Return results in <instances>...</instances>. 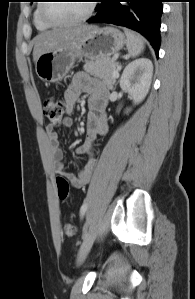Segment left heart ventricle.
Here are the masks:
<instances>
[{"instance_id": "obj_1", "label": "left heart ventricle", "mask_w": 195, "mask_h": 299, "mask_svg": "<svg viewBox=\"0 0 195 299\" xmlns=\"http://www.w3.org/2000/svg\"><path fill=\"white\" fill-rule=\"evenodd\" d=\"M88 6L89 1L54 2L47 5L46 11L57 21H68L84 15Z\"/></svg>"}]
</instances>
